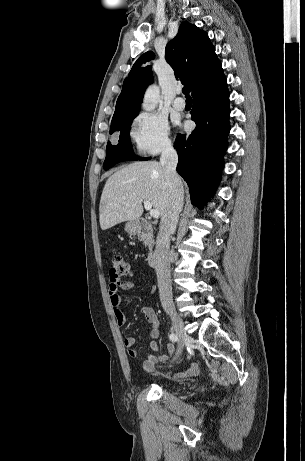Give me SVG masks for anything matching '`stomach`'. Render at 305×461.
<instances>
[{"label":"stomach","instance_id":"1","mask_svg":"<svg viewBox=\"0 0 305 461\" xmlns=\"http://www.w3.org/2000/svg\"><path fill=\"white\" fill-rule=\"evenodd\" d=\"M125 231L130 235L134 236L139 232L137 224L133 221L127 222L125 225Z\"/></svg>","mask_w":305,"mask_h":461}]
</instances>
